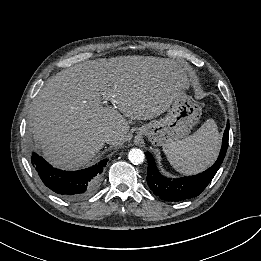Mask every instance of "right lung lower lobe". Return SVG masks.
Here are the masks:
<instances>
[{
	"instance_id": "98d812e1",
	"label": "right lung lower lobe",
	"mask_w": 261,
	"mask_h": 261,
	"mask_svg": "<svg viewBox=\"0 0 261 261\" xmlns=\"http://www.w3.org/2000/svg\"><path fill=\"white\" fill-rule=\"evenodd\" d=\"M107 161L108 159H104L84 170L62 171L53 168L36 153H32L31 157V163L42 182L53 192L68 200L82 199L93 193Z\"/></svg>"
}]
</instances>
